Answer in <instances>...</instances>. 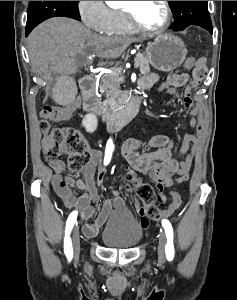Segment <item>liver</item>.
<instances>
[{"label":"liver","mask_w":237,"mask_h":300,"mask_svg":"<svg viewBox=\"0 0 237 300\" xmlns=\"http://www.w3.org/2000/svg\"><path fill=\"white\" fill-rule=\"evenodd\" d=\"M135 41L134 37H102L79 21L54 17L30 33L27 47L35 71L51 77L52 73L74 75L90 53L100 59H118Z\"/></svg>","instance_id":"liver-1"}]
</instances>
